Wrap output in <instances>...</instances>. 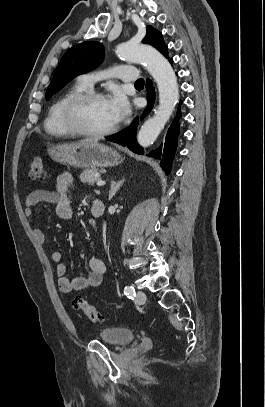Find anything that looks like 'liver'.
Returning <instances> with one entry per match:
<instances>
[{"mask_svg": "<svg viewBox=\"0 0 265 407\" xmlns=\"http://www.w3.org/2000/svg\"><path fill=\"white\" fill-rule=\"evenodd\" d=\"M93 141H95V140H93V139H84V140H82V141H80V142H93ZM96 142V141H95Z\"/></svg>", "mask_w": 265, "mask_h": 407, "instance_id": "liver-1", "label": "liver"}]
</instances>
